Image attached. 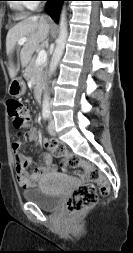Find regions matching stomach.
I'll use <instances>...</instances> for the list:
<instances>
[{
    "label": "stomach",
    "mask_w": 133,
    "mask_h": 253,
    "mask_svg": "<svg viewBox=\"0 0 133 253\" xmlns=\"http://www.w3.org/2000/svg\"><path fill=\"white\" fill-rule=\"evenodd\" d=\"M25 91L26 85L22 78H15L11 81L8 89V92L11 96L20 97L25 93Z\"/></svg>",
    "instance_id": "0dacf381"
}]
</instances>
